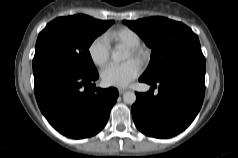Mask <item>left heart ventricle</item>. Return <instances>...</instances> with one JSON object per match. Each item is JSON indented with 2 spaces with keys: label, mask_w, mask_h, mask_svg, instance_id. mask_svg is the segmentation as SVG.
<instances>
[{
  "label": "left heart ventricle",
  "mask_w": 238,
  "mask_h": 158,
  "mask_svg": "<svg viewBox=\"0 0 238 158\" xmlns=\"http://www.w3.org/2000/svg\"><path fill=\"white\" fill-rule=\"evenodd\" d=\"M131 57H132V56H131V53L128 51L126 58L129 59V58H131Z\"/></svg>",
  "instance_id": "obj_1"
}]
</instances>
